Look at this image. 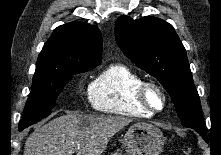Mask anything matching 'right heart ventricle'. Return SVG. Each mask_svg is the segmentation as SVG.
Returning <instances> with one entry per match:
<instances>
[{
  "mask_svg": "<svg viewBox=\"0 0 221 155\" xmlns=\"http://www.w3.org/2000/svg\"><path fill=\"white\" fill-rule=\"evenodd\" d=\"M142 77L124 64H112L90 83L88 99L99 112L130 117H149L137 101Z\"/></svg>",
  "mask_w": 221,
  "mask_h": 155,
  "instance_id": "e07e8e85",
  "label": "right heart ventricle"
}]
</instances>
